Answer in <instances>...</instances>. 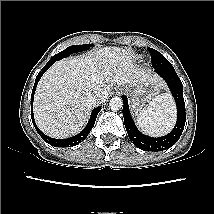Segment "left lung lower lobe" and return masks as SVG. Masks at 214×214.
I'll list each match as a JSON object with an SVG mask.
<instances>
[{
    "label": "left lung lower lobe",
    "instance_id": "1",
    "mask_svg": "<svg viewBox=\"0 0 214 214\" xmlns=\"http://www.w3.org/2000/svg\"><path fill=\"white\" fill-rule=\"evenodd\" d=\"M155 72L160 75L167 83L177 106V121L174 129L163 137L153 138L142 134L131 117L128 101L126 96L123 99V116L125 128L131 142L138 148L144 151H162L172 147L177 142L183 132L186 113L185 103L183 98V85L174 68L171 69H155Z\"/></svg>",
    "mask_w": 214,
    "mask_h": 214
}]
</instances>
